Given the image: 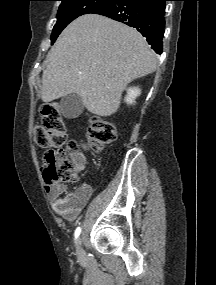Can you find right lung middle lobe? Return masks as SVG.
I'll return each mask as SVG.
<instances>
[{
	"instance_id": "1",
	"label": "right lung middle lobe",
	"mask_w": 216,
	"mask_h": 285,
	"mask_svg": "<svg viewBox=\"0 0 216 285\" xmlns=\"http://www.w3.org/2000/svg\"><path fill=\"white\" fill-rule=\"evenodd\" d=\"M61 1L57 22L51 35L52 44L55 42L62 30L77 17L92 13L95 10L111 3L114 0H59Z\"/></svg>"
}]
</instances>
